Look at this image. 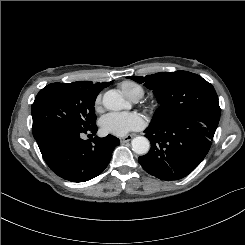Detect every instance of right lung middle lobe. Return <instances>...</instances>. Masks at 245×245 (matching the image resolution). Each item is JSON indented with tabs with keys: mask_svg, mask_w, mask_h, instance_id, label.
<instances>
[{
	"mask_svg": "<svg viewBox=\"0 0 245 245\" xmlns=\"http://www.w3.org/2000/svg\"><path fill=\"white\" fill-rule=\"evenodd\" d=\"M99 91L77 83H52L32 104L33 136L40 139L53 128L86 131L96 125L94 102Z\"/></svg>",
	"mask_w": 245,
	"mask_h": 245,
	"instance_id": "1",
	"label": "right lung middle lobe"
}]
</instances>
